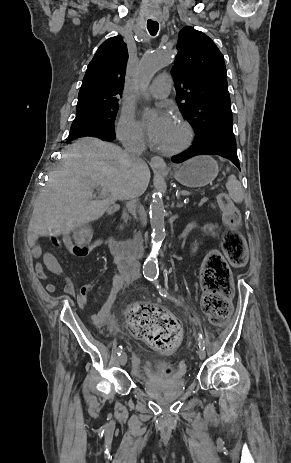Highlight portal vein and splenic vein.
Returning a JSON list of instances; mask_svg holds the SVG:
<instances>
[{
  "mask_svg": "<svg viewBox=\"0 0 291 463\" xmlns=\"http://www.w3.org/2000/svg\"><path fill=\"white\" fill-rule=\"evenodd\" d=\"M101 194H102V195H106V190H103ZM181 194H183V195H190V192H188V191H181Z\"/></svg>",
  "mask_w": 291,
  "mask_h": 463,
  "instance_id": "portal-vein-and-splenic-vein-1",
  "label": "portal vein and splenic vein"
}]
</instances>
